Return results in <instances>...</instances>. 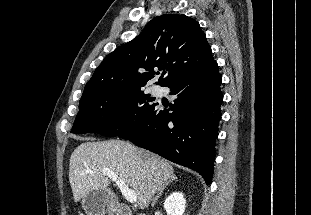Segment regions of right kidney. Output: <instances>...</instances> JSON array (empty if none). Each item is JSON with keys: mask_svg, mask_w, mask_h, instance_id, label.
Returning <instances> with one entry per match:
<instances>
[{"mask_svg": "<svg viewBox=\"0 0 311 215\" xmlns=\"http://www.w3.org/2000/svg\"><path fill=\"white\" fill-rule=\"evenodd\" d=\"M185 207L186 200L180 192H173L164 201L167 215H183Z\"/></svg>", "mask_w": 311, "mask_h": 215, "instance_id": "right-kidney-1", "label": "right kidney"}]
</instances>
